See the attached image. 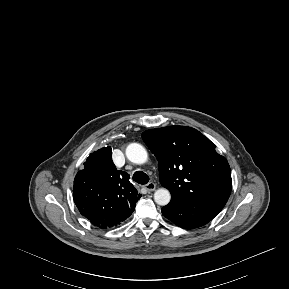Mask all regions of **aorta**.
Segmentation results:
<instances>
[{
    "label": "aorta",
    "mask_w": 289,
    "mask_h": 289,
    "mask_svg": "<svg viewBox=\"0 0 289 289\" xmlns=\"http://www.w3.org/2000/svg\"><path fill=\"white\" fill-rule=\"evenodd\" d=\"M127 158L135 164H144L148 159L146 149L138 143H131L126 148ZM171 195L166 188H160L154 193V200L158 205L165 206L170 202Z\"/></svg>",
    "instance_id": "762f6f07"
}]
</instances>
